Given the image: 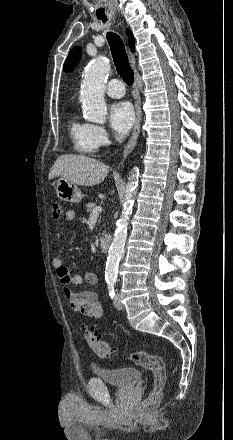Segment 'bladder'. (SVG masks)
<instances>
[{
    "instance_id": "obj_1",
    "label": "bladder",
    "mask_w": 233,
    "mask_h": 440,
    "mask_svg": "<svg viewBox=\"0 0 233 440\" xmlns=\"http://www.w3.org/2000/svg\"><path fill=\"white\" fill-rule=\"evenodd\" d=\"M92 373L96 378L118 388L133 387L141 379L140 370L133 367L104 369L94 366L92 367Z\"/></svg>"
}]
</instances>
